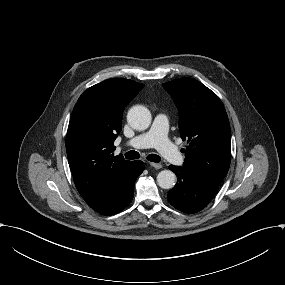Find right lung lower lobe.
I'll return each mask as SVG.
<instances>
[{
	"mask_svg": "<svg viewBox=\"0 0 285 285\" xmlns=\"http://www.w3.org/2000/svg\"><path fill=\"white\" fill-rule=\"evenodd\" d=\"M143 170L142 161H131L116 178L108 194L90 207L102 215H113L125 209L133 198L135 181Z\"/></svg>",
	"mask_w": 285,
	"mask_h": 285,
	"instance_id": "98d812e1",
	"label": "right lung lower lobe"
}]
</instances>
